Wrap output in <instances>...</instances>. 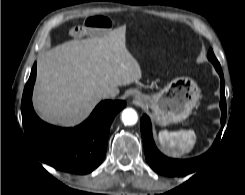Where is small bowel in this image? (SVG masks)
<instances>
[{
    "mask_svg": "<svg viewBox=\"0 0 245 195\" xmlns=\"http://www.w3.org/2000/svg\"><path fill=\"white\" fill-rule=\"evenodd\" d=\"M111 27L109 18L101 15L89 16L81 25L71 28L70 33L73 36H82L88 33L98 34L108 30Z\"/></svg>",
    "mask_w": 245,
    "mask_h": 195,
    "instance_id": "1",
    "label": "small bowel"
}]
</instances>
